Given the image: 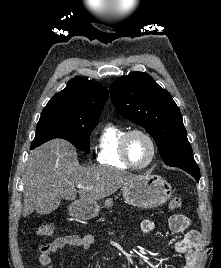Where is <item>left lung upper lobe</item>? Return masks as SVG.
Listing matches in <instances>:
<instances>
[{
	"label": "left lung upper lobe",
	"mask_w": 221,
	"mask_h": 268,
	"mask_svg": "<svg viewBox=\"0 0 221 268\" xmlns=\"http://www.w3.org/2000/svg\"><path fill=\"white\" fill-rule=\"evenodd\" d=\"M109 90L117 112L146 129L166 165L196 163L180 109L150 75L135 71L118 78Z\"/></svg>",
	"instance_id": "left-lung-upper-lobe-1"
}]
</instances>
